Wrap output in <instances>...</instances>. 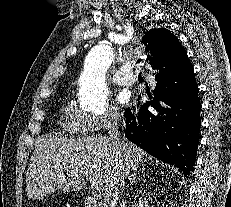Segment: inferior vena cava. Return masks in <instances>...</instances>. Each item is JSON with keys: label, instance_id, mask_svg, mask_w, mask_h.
I'll list each match as a JSON object with an SVG mask.
<instances>
[{"label": "inferior vena cava", "instance_id": "obj_1", "mask_svg": "<svg viewBox=\"0 0 231 207\" xmlns=\"http://www.w3.org/2000/svg\"><path fill=\"white\" fill-rule=\"evenodd\" d=\"M117 118H114L108 125V138L113 146V148L117 149L120 146L121 138L118 132V126H117ZM127 177L126 175H123L118 180V187H119V193L122 194L123 190L125 189V179Z\"/></svg>", "mask_w": 231, "mask_h": 207}]
</instances>
